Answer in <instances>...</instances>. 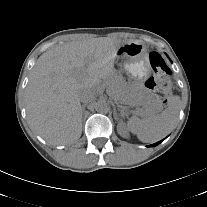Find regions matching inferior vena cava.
<instances>
[{
  "label": "inferior vena cava",
  "instance_id": "obj_1",
  "mask_svg": "<svg viewBox=\"0 0 207 207\" xmlns=\"http://www.w3.org/2000/svg\"><path fill=\"white\" fill-rule=\"evenodd\" d=\"M79 99L83 103L92 102L95 99V93L91 89H83L79 93Z\"/></svg>",
  "mask_w": 207,
  "mask_h": 207
}]
</instances>
